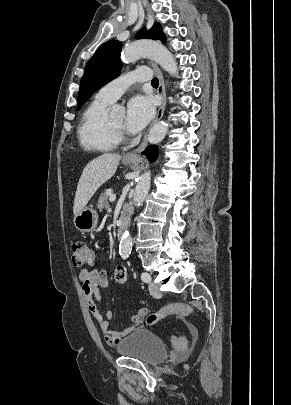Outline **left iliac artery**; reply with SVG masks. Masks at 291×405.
Returning a JSON list of instances; mask_svg holds the SVG:
<instances>
[{"mask_svg": "<svg viewBox=\"0 0 291 405\" xmlns=\"http://www.w3.org/2000/svg\"><path fill=\"white\" fill-rule=\"evenodd\" d=\"M141 279L142 281H144L145 283H148L151 281V276L147 273V272H143L141 274Z\"/></svg>", "mask_w": 291, "mask_h": 405, "instance_id": "44dca946", "label": "left iliac artery"}]
</instances>
